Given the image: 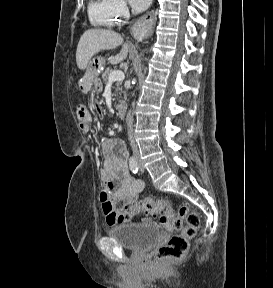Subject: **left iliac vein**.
<instances>
[{"label": "left iliac vein", "mask_w": 273, "mask_h": 288, "mask_svg": "<svg viewBox=\"0 0 273 288\" xmlns=\"http://www.w3.org/2000/svg\"><path fill=\"white\" fill-rule=\"evenodd\" d=\"M137 160H138V165H139V169H140V171H141V172H144V171H145V168H144V166H143L141 160H140L139 158H137Z\"/></svg>", "instance_id": "left-iliac-vein-1"}]
</instances>
